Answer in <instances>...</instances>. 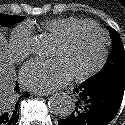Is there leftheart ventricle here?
Here are the masks:
<instances>
[{
	"label": "left heart ventricle",
	"mask_w": 125,
	"mask_h": 125,
	"mask_svg": "<svg viewBox=\"0 0 125 125\" xmlns=\"http://www.w3.org/2000/svg\"><path fill=\"white\" fill-rule=\"evenodd\" d=\"M103 46L101 33L92 27L79 29L64 45L55 42L51 56L61 58L72 75L86 72L98 61Z\"/></svg>",
	"instance_id": "obj_1"
}]
</instances>
